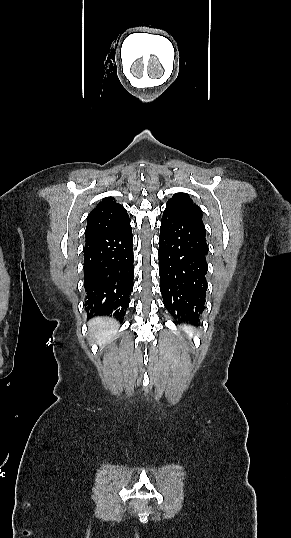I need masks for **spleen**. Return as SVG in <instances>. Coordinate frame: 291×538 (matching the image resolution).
Wrapping results in <instances>:
<instances>
[{"label":"spleen","mask_w":291,"mask_h":538,"mask_svg":"<svg viewBox=\"0 0 291 538\" xmlns=\"http://www.w3.org/2000/svg\"><path fill=\"white\" fill-rule=\"evenodd\" d=\"M184 329H185V330H186L187 332H189V333H191V334H192V329H191L190 327H188V326H185V327H184Z\"/></svg>","instance_id":"obj_1"}]
</instances>
